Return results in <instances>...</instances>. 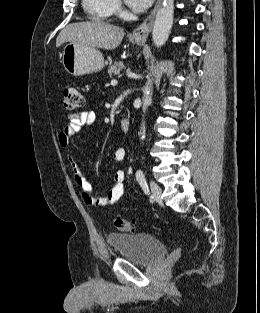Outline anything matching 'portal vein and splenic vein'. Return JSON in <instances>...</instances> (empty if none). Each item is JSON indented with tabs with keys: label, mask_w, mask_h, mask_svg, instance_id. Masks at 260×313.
<instances>
[{
	"label": "portal vein and splenic vein",
	"mask_w": 260,
	"mask_h": 313,
	"mask_svg": "<svg viewBox=\"0 0 260 313\" xmlns=\"http://www.w3.org/2000/svg\"><path fill=\"white\" fill-rule=\"evenodd\" d=\"M117 84V81L116 80H112L111 81V85H116Z\"/></svg>",
	"instance_id": "obj_1"
}]
</instances>
